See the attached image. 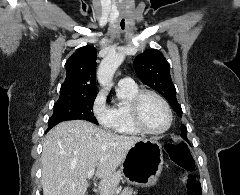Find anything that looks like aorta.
Masks as SVG:
<instances>
[{
	"mask_svg": "<svg viewBox=\"0 0 240 195\" xmlns=\"http://www.w3.org/2000/svg\"><path fill=\"white\" fill-rule=\"evenodd\" d=\"M124 60L125 56L122 54H108L106 58L101 60L97 70V80L105 90H110L114 74Z\"/></svg>",
	"mask_w": 240,
	"mask_h": 195,
	"instance_id": "762f6f07",
	"label": "aorta"
}]
</instances>
